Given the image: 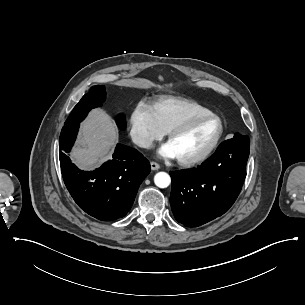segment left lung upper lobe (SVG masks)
<instances>
[{
    "mask_svg": "<svg viewBox=\"0 0 305 305\" xmlns=\"http://www.w3.org/2000/svg\"><path fill=\"white\" fill-rule=\"evenodd\" d=\"M240 136H242V135L239 133H236L233 138L240 137Z\"/></svg>",
    "mask_w": 305,
    "mask_h": 305,
    "instance_id": "5c2ea615",
    "label": "left lung upper lobe"
}]
</instances>
